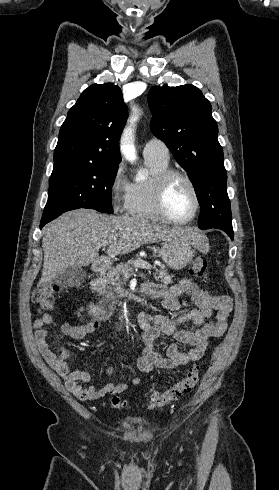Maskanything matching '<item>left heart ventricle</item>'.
I'll return each mask as SVG.
<instances>
[{
  "mask_svg": "<svg viewBox=\"0 0 279 490\" xmlns=\"http://www.w3.org/2000/svg\"><path fill=\"white\" fill-rule=\"evenodd\" d=\"M195 199L190 185L183 179H176L167 198L168 210L178 220L187 219L193 212Z\"/></svg>",
  "mask_w": 279,
  "mask_h": 490,
  "instance_id": "1",
  "label": "left heart ventricle"
}]
</instances>
